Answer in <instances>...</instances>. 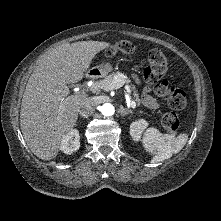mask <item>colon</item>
Returning a JSON list of instances; mask_svg holds the SVG:
<instances>
[{"label":"colon","mask_w":221,"mask_h":221,"mask_svg":"<svg viewBox=\"0 0 221 221\" xmlns=\"http://www.w3.org/2000/svg\"><path fill=\"white\" fill-rule=\"evenodd\" d=\"M135 47L129 40H122L111 45L106 50V56L112 58L117 54H131ZM148 66L144 69L143 75L145 80L152 84L155 93L163 97L170 108L173 110H181L186 106L187 100L185 92L179 88L170 86L164 78L167 70V59L164 53L152 48L146 51ZM163 128L169 133H175L179 128V119L174 112H167L161 118Z\"/></svg>","instance_id":"colon-1"}]
</instances>
